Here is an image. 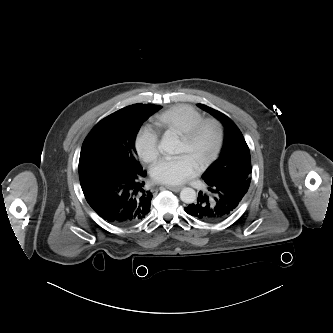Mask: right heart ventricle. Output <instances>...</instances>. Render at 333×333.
Listing matches in <instances>:
<instances>
[{"label":"right heart ventricle","instance_id":"e07e8e85","mask_svg":"<svg viewBox=\"0 0 333 333\" xmlns=\"http://www.w3.org/2000/svg\"><path fill=\"white\" fill-rule=\"evenodd\" d=\"M202 119L203 114L196 108L189 105H177L157 115L154 126L159 131H170L181 135Z\"/></svg>","mask_w":333,"mask_h":333}]
</instances>
